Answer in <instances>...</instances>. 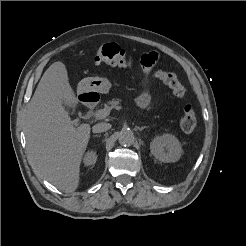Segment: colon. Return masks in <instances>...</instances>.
<instances>
[{
    "label": "colon",
    "instance_id": "1",
    "mask_svg": "<svg viewBox=\"0 0 246 246\" xmlns=\"http://www.w3.org/2000/svg\"><path fill=\"white\" fill-rule=\"evenodd\" d=\"M95 61L119 67H130L133 62L131 55L115 43H108L99 47L95 53ZM156 76L169 86L175 96H184L185 87L173 72L159 70ZM196 124L197 119L194 108L191 105H186L180 119V128L189 133L195 129Z\"/></svg>",
    "mask_w": 246,
    "mask_h": 246
}]
</instances>
